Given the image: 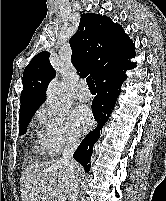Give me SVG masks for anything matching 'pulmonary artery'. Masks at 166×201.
Returning <instances> with one entry per match:
<instances>
[{"label":"pulmonary artery","mask_w":166,"mask_h":201,"mask_svg":"<svg viewBox=\"0 0 166 201\" xmlns=\"http://www.w3.org/2000/svg\"><path fill=\"white\" fill-rule=\"evenodd\" d=\"M75 96L81 102H88L92 98L91 92L85 83L79 85Z\"/></svg>","instance_id":"pulmonary-artery-1"}]
</instances>
